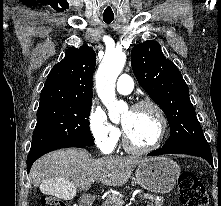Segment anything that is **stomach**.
Returning a JSON list of instances; mask_svg holds the SVG:
<instances>
[{"label": "stomach", "instance_id": "1", "mask_svg": "<svg viewBox=\"0 0 221 206\" xmlns=\"http://www.w3.org/2000/svg\"><path fill=\"white\" fill-rule=\"evenodd\" d=\"M179 175V165L166 157L146 159L138 165L135 174L139 185L155 193L171 191Z\"/></svg>", "mask_w": 221, "mask_h": 206}]
</instances>
